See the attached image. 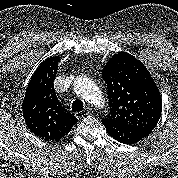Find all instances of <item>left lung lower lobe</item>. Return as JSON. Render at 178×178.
<instances>
[{
  "mask_svg": "<svg viewBox=\"0 0 178 178\" xmlns=\"http://www.w3.org/2000/svg\"><path fill=\"white\" fill-rule=\"evenodd\" d=\"M102 123L111 137L124 144L136 143L152 132L143 127L116 123L107 119H103Z\"/></svg>",
  "mask_w": 178,
  "mask_h": 178,
  "instance_id": "left-lung-lower-lobe-1",
  "label": "left lung lower lobe"
}]
</instances>
